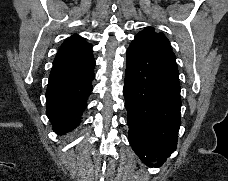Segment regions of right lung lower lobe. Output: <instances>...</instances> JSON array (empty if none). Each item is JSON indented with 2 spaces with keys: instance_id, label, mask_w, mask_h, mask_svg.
Here are the masks:
<instances>
[{
  "instance_id": "1",
  "label": "right lung lower lobe",
  "mask_w": 228,
  "mask_h": 181,
  "mask_svg": "<svg viewBox=\"0 0 228 181\" xmlns=\"http://www.w3.org/2000/svg\"><path fill=\"white\" fill-rule=\"evenodd\" d=\"M94 65L92 46L54 60L46 91V114L56 133L63 135L79 125L92 90Z\"/></svg>"
}]
</instances>
